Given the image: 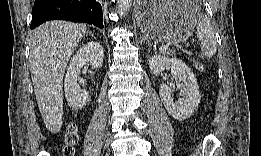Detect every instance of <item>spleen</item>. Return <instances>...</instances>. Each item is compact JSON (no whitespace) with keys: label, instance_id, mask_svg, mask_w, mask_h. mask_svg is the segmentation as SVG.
<instances>
[{"label":"spleen","instance_id":"1","mask_svg":"<svg viewBox=\"0 0 261 156\" xmlns=\"http://www.w3.org/2000/svg\"><path fill=\"white\" fill-rule=\"evenodd\" d=\"M196 34L201 42V51L203 55L206 57L215 55L217 51L215 33L210 19L206 15L199 14Z\"/></svg>","mask_w":261,"mask_h":156}]
</instances>
